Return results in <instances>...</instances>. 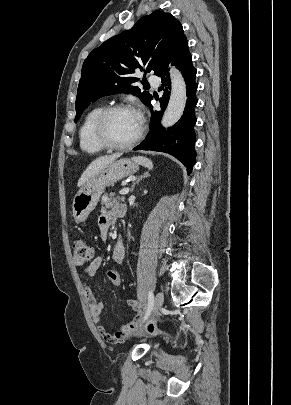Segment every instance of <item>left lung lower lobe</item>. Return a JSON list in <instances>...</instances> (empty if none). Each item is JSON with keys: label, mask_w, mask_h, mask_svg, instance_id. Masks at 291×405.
Returning a JSON list of instances; mask_svg holds the SVG:
<instances>
[{"label": "left lung lower lobe", "mask_w": 291, "mask_h": 405, "mask_svg": "<svg viewBox=\"0 0 291 405\" xmlns=\"http://www.w3.org/2000/svg\"><path fill=\"white\" fill-rule=\"evenodd\" d=\"M171 62L172 65H175L181 71L185 78L187 101L182 117L175 125L166 130L161 126L160 119L169 99L168 90L171 83L168 65ZM157 76L161 77L162 87H166L163 96L160 98L161 110H154L151 101L147 105L152 112L149 126L150 132L146 136V139L135 147L134 150H152L171 154L187 167V173L190 174L196 157L194 149L196 135L193 131V126L196 123L194 107L197 103L196 90L198 84L195 82L196 69L192 65V56L188 49L186 37L181 40L168 62L158 71Z\"/></svg>", "instance_id": "left-lung-lower-lobe-1"}]
</instances>
